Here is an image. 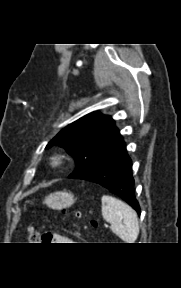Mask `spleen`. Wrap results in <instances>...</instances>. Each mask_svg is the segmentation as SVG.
<instances>
[{"mask_svg": "<svg viewBox=\"0 0 181 288\" xmlns=\"http://www.w3.org/2000/svg\"><path fill=\"white\" fill-rule=\"evenodd\" d=\"M102 216L111 224V230L126 243H134L139 234L135 211L126 203L109 195H103Z\"/></svg>", "mask_w": 181, "mask_h": 288, "instance_id": "obj_1", "label": "spleen"}]
</instances>
